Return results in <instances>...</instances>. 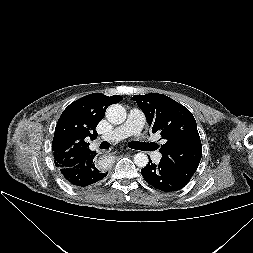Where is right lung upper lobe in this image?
I'll use <instances>...</instances> for the list:
<instances>
[{
  "instance_id": "obj_1",
  "label": "right lung upper lobe",
  "mask_w": 253,
  "mask_h": 253,
  "mask_svg": "<svg viewBox=\"0 0 253 253\" xmlns=\"http://www.w3.org/2000/svg\"><path fill=\"white\" fill-rule=\"evenodd\" d=\"M120 95L93 93L71 103L60 116L54 133L52 150L59 169L73 167L95 156L86 137L96 139V126L104 118L109 105L118 103Z\"/></svg>"
}]
</instances>
